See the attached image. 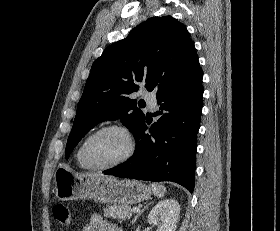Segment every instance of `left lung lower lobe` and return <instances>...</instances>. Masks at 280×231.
Returning <instances> with one entry per match:
<instances>
[{"label":"left lung lower lobe","instance_id":"obj_1","mask_svg":"<svg viewBox=\"0 0 280 231\" xmlns=\"http://www.w3.org/2000/svg\"><path fill=\"white\" fill-rule=\"evenodd\" d=\"M203 71L157 93L159 119L149 134L145 117L134 131L136 150L126 162L104 173L147 181L176 182L191 193L195 186L196 138L202 112Z\"/></svg>","mask_w":280,"mask_h":231}]
</instances>
